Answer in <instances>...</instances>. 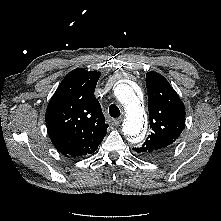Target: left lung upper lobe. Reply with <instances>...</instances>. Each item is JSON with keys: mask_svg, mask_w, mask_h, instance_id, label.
Listing matches in <instances>:
<instances>
[{"mask_svg": "<svg viewBox=\"0 0 221 221\" xmlns=\"http://www.w3.org/2000/svg\"><path fill=\"white\" fill-rule=\"evenodd\" d=\"M151 133L134 151L139 156L156 160L173 147L185 126V107L169 82L157 72L146 75Z\"/></svg>", "mask_w": 221, "mask_h": 221, "instance_id": "left-lung-upper-lobe-1", "label": "left lung upper lobe"}]
</instances>
